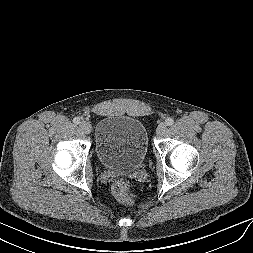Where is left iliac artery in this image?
Instances as JSON below:
<instances>
[{"instance_id": "44dca946", "label": "left iliac artery", "mask_w": 253, "mask_h": 253, "mask_svg": "<svg viewBox=\"0 0 253 253\" xmlns=\"http://www.w3.org/2000/svg\"><path fill=\"white\" fill-rule=\"evenodd\" d=\"M165 123H166L168 126H171V125H173L174 120H173L172 118H168V119H166Z\"/></svg>"}]
</instances>
